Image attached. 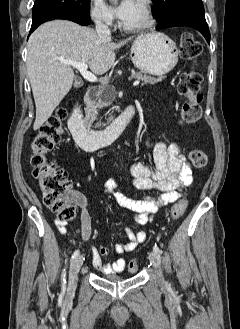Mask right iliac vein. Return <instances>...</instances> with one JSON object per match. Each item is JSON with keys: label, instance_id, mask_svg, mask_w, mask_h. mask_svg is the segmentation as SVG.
Instances as JSON below:
<instances>
[{"label": "right iliac vein", "instance_id": "obj_1", "mask_svg": "<svg viewBox=\"0 0 240 329\" xmlns=\"http://www.w3.org/2000/svg\"><path fill=\"white\" fill-rule=\"evenodd\" d=\"M83 264V257L78 256L76 257L71 266H70V271H69V280H68V289L70 291H73L76 288L77 285V274Z\"/></svg>", "mask_w": 240, "mask_h": 329}]
</instances>
